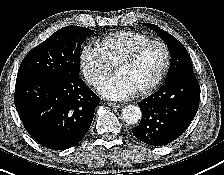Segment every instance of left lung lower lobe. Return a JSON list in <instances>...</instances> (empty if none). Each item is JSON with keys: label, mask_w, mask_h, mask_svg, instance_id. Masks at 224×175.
<instances>
[{"label": "left lung lower lobe", "mask_w": 224, "mask_h": 175, "mask_svg": "<svg viewBox=\"0 0 224 175\" xmlns=\"http://www.w3.org/2000/svg\"><path fill=\"white\" fill-rule=\"evenodd\" d=\"M200 100V85L193 70L167 77L162 87L138 105L140 124L132 130L140 141L163 146L176 140L195 117Z\"/></svg>", "instance_id": "left-lung-lower-lobe-1"}]
</instances>
